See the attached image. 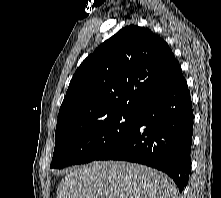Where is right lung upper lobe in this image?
<instances>
[{
    "mask_svg": "<svg viewBox=\"0 0 221 198\" xmlns=\"http://www.w3.org/2000/svg\"><path fill=\"white\" fill-rule=\"evenodd\" d=\"M182 77L162 38L148 28L124 27L76 70L60 107L55 137L113 114H138Z\"/></svg>",
    "mask_w": 221,
    "mask_h": 198,
    "instance_id": "obj_1",
    "label": "right lung upper lobe"
}]
</instances>
